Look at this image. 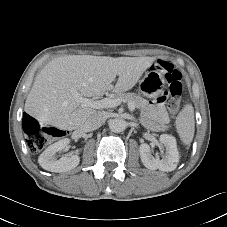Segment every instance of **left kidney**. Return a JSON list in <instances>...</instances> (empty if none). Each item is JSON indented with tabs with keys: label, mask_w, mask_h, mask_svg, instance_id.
<instances>
[{
	"label": "left kidney",
	"mask_w": 227,
	"mask_h": 227,
	"mask_svg": "<svg viewBox=\"0 0 227 227\" xmlns=\"http://www.w3.org/2000/svg\"><path fill=\"white\" fill-rule=\"evenodd\" d=\"M159 140L166 147L164 158L159 159V157H154L151 154L150 146L143 143L139 147L141 161L146 168L151 170L159 169L165 172L173 171L179 162V152L176 139L171 135L162 134L160 135Z\"/></svg>",
	"instance_id": "5707ae66"
}]
</instances>
